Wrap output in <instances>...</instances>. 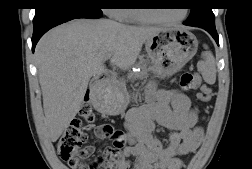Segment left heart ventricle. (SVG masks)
<instances>
[{"mask_svg":"<svg viewBox=\"0 0 252 169\" xmlns=\"http://www.w3.org/2000/svg\"><path fill=\"white\" fill-rule=\"evenodd\" d=\"M153 17L163 18V19H175L178 18L182 11L181 9L165 10V11H147Z\"/></svg>","mask_w":252,"mask_h":169,"instance_id":"left-heart-ventricle-1","label":"left heart ventricle"}]
</instances>
